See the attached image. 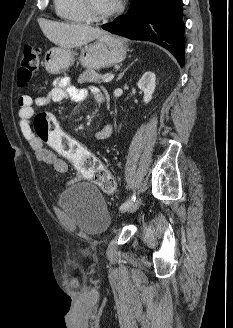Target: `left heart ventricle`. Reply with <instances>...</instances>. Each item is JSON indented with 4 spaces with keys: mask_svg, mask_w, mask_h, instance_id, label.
Instances as JSON below:
<instances>
[{
    "mask_svg": "<svg viewBox=\"0 0 233 328\" xmlns=\"http://www.w3.org/2000/svg\"><path fill=\"white\" fill-rule=\"evenodd\" d=\"M119 0H89L92 11L96 14H103L111 11Z\"/></svg>",
    "mask_w": 233,
    "mask_h": 328,
    "instance_id": "left-heart-ventricle-1",
    "label": "left heart ventricle"
}]
</instances>
